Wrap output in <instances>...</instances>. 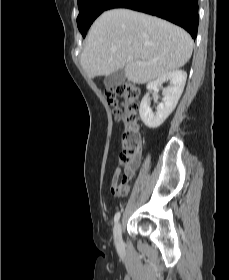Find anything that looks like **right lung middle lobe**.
I'll return each instance as SVG.
<instances>
[{"label":"right lung middle lobe","mask_w":229,"mask_h":280,"mask_svg":"<svg viewBox=\"0 0 229 280\" xmlns=\"http://www.w3.org/2000/svg\"><path fill=\"white\" fill-rule=\"evenodd\" d=\"M114 0H78L79 15L77 26L85 37L88 28L93 21L105 10Z\"/></svg>","instance_id":"right-lung-middle-lobe-1"}]
</instances>
